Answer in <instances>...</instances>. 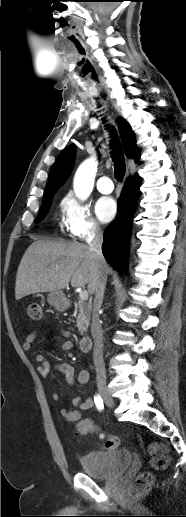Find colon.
Returning a JSON list of instances; mask_svg holds the SVG:
<instances>
[{
	"instance_id": "5ec220e1",
	"label": "colon",
	"mask_w": 186,
	"mask_h": 517,
	"mask_svg": "<svg viewBox=\"0 0 186 517\" xmlns=\"http://www.w3.org/2000/svg\"><path fill=\"white\" fill-rule=\"evenodd\" d=\"M27 315L32 321H40L42 318V307L38 303H31L27 307ZM99 438L102 440L103 447L106 449H116L120 445L118 437L107 435L99 432ZM148 453L150 455V462L154 469L162 470L167 467L169 463V456L167 448L161 443H151L148 446ZM152 476L150 473L140 474L132 483L130 494L132 497H140L144 495L151 487Z\"/></svg>"
}]
</instances>
